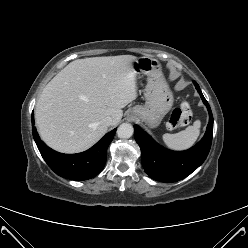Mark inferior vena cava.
Here are the masks:
<instances>
[{
  "mask_svg": "<svg viewBox=\"0 0 248 248\" xmlns=\"http://www.w3.org/2000/svg\"><path fill=\"white\" fill-rule=\"evenodd\" d=\"M102 123L106 126H110L113 123V119L110 116H106L102 119Z\"/></svg>",
  "mask_w": 248,
  "mask_h": 248,
  "instance_id": "1",
  "label": "inferior vena cava"
}]
</instances>
